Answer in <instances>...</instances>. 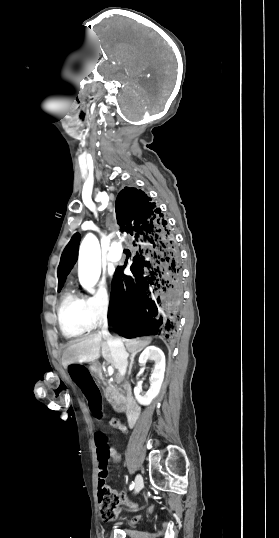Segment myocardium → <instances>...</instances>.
I'll return each instance as SVG.
<instances>
[{"mask_svg": "<svg viewBox=\"0 0 279 538\" xmlns=\"http://www.w3.org/2000/svg\"><path fill=\"white\" fill-rule=\"evenodd\" d=\"M88 225H89V223L86 222V223H84L83 227H86ZM129 236L132 237V238L134 237L131 231H129Z\"/></svg>", "mask_w": 279, "mask_h": 538, "instance_id": "f54148a6", "label": "myocardium"}]
</instances>
